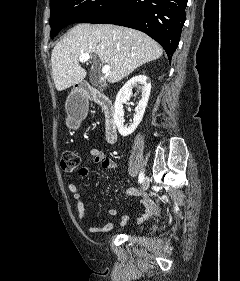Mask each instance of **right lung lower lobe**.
I'll use <instances>...</instances> for the list:
<instances>
[{"label":"right lung lower lobe","mask_w":240,"mask_h":281,"mask_svg":"<svg viewBox=\"0 0 240 281\" xmlns=\"http://www.w3.org/2000/svg\"><path fill=\"white\" fill-rule=\"evenodd\" d=\"M187 0H118L92 23L116 24L145 32L166 51L176 50L185 22Z\"/></svg>","instance_id":"1"}]
</instances>
